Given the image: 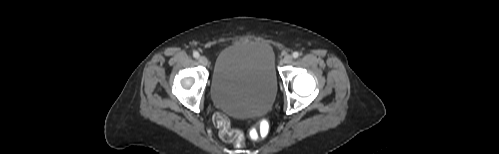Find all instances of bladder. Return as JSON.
<instances>
[{"instance_id":"obj_1","label":"bladder","mask_w":499,"mask_h":154,"mask_svg":"<svg viewBox=\"0 0 499 154\" xmlns=\"http://www.w3.org/2000/svg\"><path fill=\"white\" fill-rule=\"evenodd\" d=\"M277 91L275 54L260 41L233 43L216 59L210 96L212 102L236 117L265 113Z\"/></svg>"}]
</instances>
